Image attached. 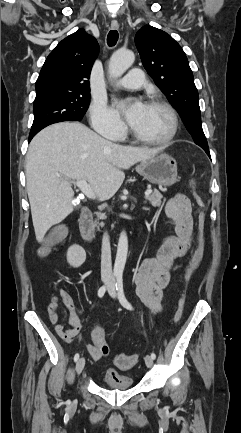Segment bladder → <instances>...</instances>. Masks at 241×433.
<instances>
[{
    "label": "bladder",
    "mask_w": 241,
    "mask_h": 433,
    "mask_svg": "<svg viewBox=\"0 0 241 433\" xmlns=\"http://www.w3.org/2000/svg\"><path fill=\"white\" fill-rule=\"evenodd\" d=\"M104 386L109 389L124 390L133 387V379L127 374L118 372H106L103 375Z\"/></svg>",
    "instance_id": "bladder-1"
}]
</instances>
